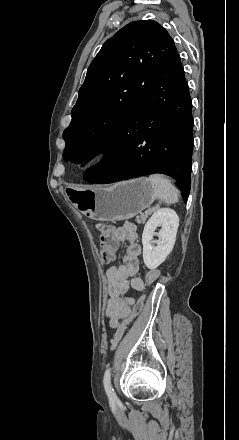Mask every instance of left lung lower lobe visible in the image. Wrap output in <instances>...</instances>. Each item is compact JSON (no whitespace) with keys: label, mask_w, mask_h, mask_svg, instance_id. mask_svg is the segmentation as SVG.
<instances>
[{"label":"left lung lower lobe","mask_w":239,"mask_h":440,"mask_svg":"<svg viewBox=\"0 0 239 440\" xmlns=\"http://www.w3.org/2000/svg\"><path fill=\"white\" fill-rule=\"evenodd\" d=\"M192 101L177 49L110 139L100 165L84 179L106 184L161 173L178 181L187 201L193 151Z\"/></svg>","instance_id":"obj_1"}]
</instances>
